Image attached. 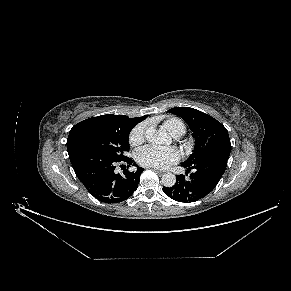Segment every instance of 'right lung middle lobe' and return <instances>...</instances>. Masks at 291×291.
Segmentation results:
<instances>
[{
    "instance_id": "obj_1",
    "label": "right lung middle lobe",
    "mask_w": 291,
    "mask_h": 291,
    "mask_svg": "<svg viewBox=\"0 0 291 291\" xmlns=\"http://www.w3.org/2000/svg\"><path fill=\"white\" fill-rule=\"evenodd\" d=\"M131 129L110 128L89 133L81 140L82 148L95 150L117 160L127 158L124 153L129 151L128 137Z\"/></svg>"
}]
</instances>
